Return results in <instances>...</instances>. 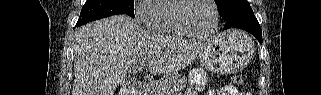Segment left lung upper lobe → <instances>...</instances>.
Returning a JSON list of instances; mask_svg holds the SVG:
<instances>
[{
  "instance_id": "obj_1",
  "label": "left lung upper lobe",
  "mask_w": 321,
  "mask_h": 95,
  "mask_svg": "<svg viewBox=\"0 0 321 95\" xmlns=\"http://www.w3.org/2000/svg\"><path fill=\"white\" fill-rule=\"evenodd\" d=\"M219 13L224 20L244 10L251 9L247 0H215Z\"/></svg>"
}]
</instances>
